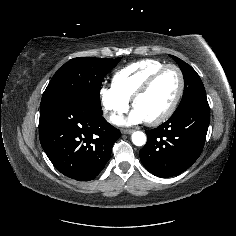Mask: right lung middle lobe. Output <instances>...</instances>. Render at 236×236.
Segmentation results:
<instances>
[{
	"mask_svg": "<svg viewBox=\"0 0 236 236\" xmlns=\"http://www.w3.org/2000/svg\"><path fill=\"white\" fill-rule=\"evenodd\" d=\"M120 58H73L52 77L43 93L41 106L59 99L74 98L86 105L101 109L100 89L103 78Z\"/></svg>",
	"mask_w": 236,
	"mask_h": 236,
	"instance_id": "dd1d6c3e",
	"label": "right lung middle lobe"
}]
</instances>
